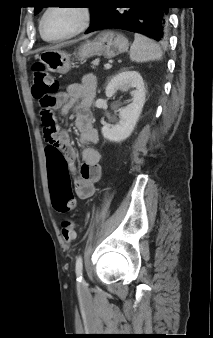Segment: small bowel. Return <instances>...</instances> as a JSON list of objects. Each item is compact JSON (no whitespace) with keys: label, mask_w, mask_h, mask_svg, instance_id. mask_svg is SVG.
Here are the masks:
<instances>
[{"label":"small bowel","mask_w":213,"mask_h":338,"mask_svg":"<svg viewBox=\"0 0 213 338\" xmlns=\"http://www.w3.org/2000/svg\"><path fill=\"white\" fill-rule=\"evenodd\" d=\"M96 79L92 74L85 75L80 83L69 85L66 91L56 94V108L64 113L80 102L82 112L75 119V126L83 144H95L99 139L98 131L92 124L89 105L95 97ZM53 142L46 147V159L49 172L50 190L55 184H62L69 174H76V149L72 146L66 131L56 126L52 134ZM100 152L92 147L82 150L80 179L76 183V194L80 199L90 198L95 192V183L102 176Z\"/></svg>","instance_id":"obj_1"}]
</instances>
